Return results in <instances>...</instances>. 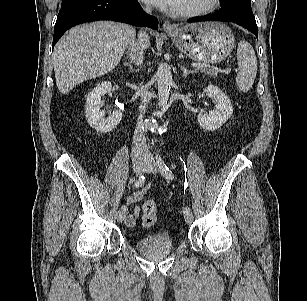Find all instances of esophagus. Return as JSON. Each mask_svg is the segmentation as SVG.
Instances as JSON below:
<instances>
[{"instance_id": "34e87169", "label": "esophagus", "mask_w": 307, "mask_h": 301, "mask_svg": "<svg viewBox=\"0 0 307 301\" xmlns=\"http://www.w3.org/2000/svg\"><path fill=\"white\" fill-rule=\"evenodd\" d=\"M163 30L166 32H170V31H174L175 27L169 21H164Z\"/></svg>"}]
</instances>
